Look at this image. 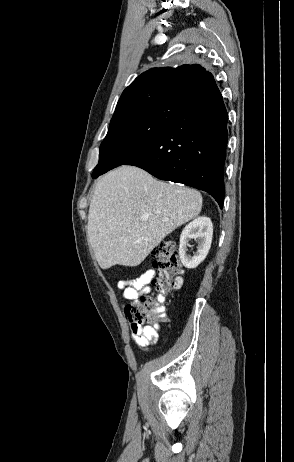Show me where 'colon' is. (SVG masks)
Listing matches in <instances>:
<instances>
[{"instance_id": "colon-1", "label": "colon", "mask_w": 294, "mask_h": 462, "mask_svg": "<svg viewBox=\"0 0 294 462\" xmlns=\"http://www.w3.org/2000/svg\"><path fill=\"white\" fill-rule=\"evenodd\" d=\"M152 256L158 276L151 285L160 294H167L182 284V266L178 250L174 243L165 241L157 245ZM163 298L156 302L150 295H142L137 300L129 302L125 309L129 318L137 324L162 320L165 316Z\"/></svg>"}]
</instances>
